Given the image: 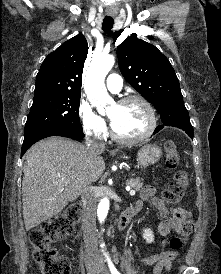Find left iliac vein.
Segmentation results:
<instances>
[{
  "label": "left iliac vein",
  "mask_w": 221,
  "mask_h": 274,
  "mask_svg": "<svg viewBox=\"0 0 221 274\" xmlns=\"http://www.w3.org/2000/svg\"><path fill=\"white\" fill-rule=\"evenodd\" d=\"M99 270H100V274H110L109 269L106 267V265L102 261L99 264Z\"/></svg>",
  "instance_id": "1"
}]
</instances>
